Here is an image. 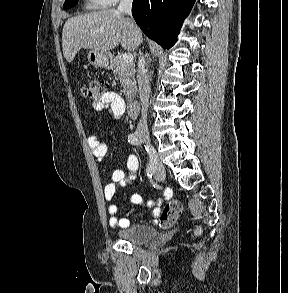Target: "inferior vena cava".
I'll list each match as a JSON object with an SVG mask.
<instances>
[{"instance_id":"602c4592","label":"inferior vena cava","mask_w":288,"mask_h":293,"mask_svg":"<svg viewBox=\"0 0 288 293\" xmlns=\"http://www.w3.org/2000/svg\"><path fill=\"white\" fill-rule=\"evenodd\" d=\"M132 0H120L118 11L131 16ZM135 26V30L138 31V27L131 20ZM137 82L139 88V96L141 100V118L137 125L136 133L138 136H148V125H147V110L150 96V84L146 73V61L142 53H140L138 64H137Z\"/></svg>"}]
</instances>
